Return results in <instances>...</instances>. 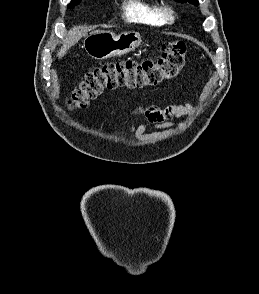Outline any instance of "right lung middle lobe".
<instances>
[{
  "label": "right lung middle lobe",
  "mask_w": 259,
  "mask_h": 294,
  "mask_svg": "<svg viewBox=\"0 0 259 294\" xmlns=\"http://www.w3.org/2000/svg\"><path fill=\"white\" fill-rule=\"evenodd\" d=\"M81 0H72L70 4H68V8H74L77 4H79Z\"/></svg>",
  "instance_id": "obj_1"
}]
</instances>
